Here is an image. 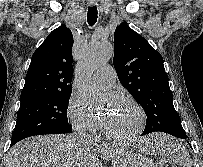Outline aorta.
I'll list each match as a JSON object with an SVG mask.
<instances>
[{
	"instance_id": "obj_1",
	"label": "aorta",
	"mask_w": 203,
	"mask_h": 167,
	"mask_svg": "<svg viewBox=\"0 0 203 167\" xmlns=\"http://www.w3.org/2000/svg\"><path fill=\"white\" fill-rule=\"evenodd\" d=\"M113 46L111 43L92 42L81 55L76 67V86L81 97L87 104H96L101 95L92 86L90 79L93 72L106 64L113 56Z\"/></svg>"
}]
</instances>
